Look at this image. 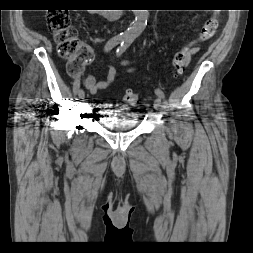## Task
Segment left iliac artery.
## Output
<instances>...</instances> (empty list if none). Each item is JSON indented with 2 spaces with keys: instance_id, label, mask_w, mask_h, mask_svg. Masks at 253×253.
Returning <instances> with one entry per match:
<instances>
[{
  "instance_id": "1",
  "label": "left iliac artery",
  "mask_w": 253,
  "mask_h": 253,
  "mask_svg": "<svg viewBox=\"0 0 253 253\" xmlns=\"http://www.w3.org/2000/svg\"><path fill=\"white\" fill-rule=\"evenodd\" d=\"M130 43H131L130 40H125V41H123V42L121 43L120 47H118V49H117V51H116L117 55L120 56V55L128 48V46L130 45ZM155 94H156L159 98H161V99H164V98H165V95H164L163 91L160 90V89H156V90H155Z\"/></svg>"
}]
</instances>
